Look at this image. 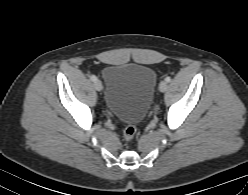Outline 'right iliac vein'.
<instances>
[{
    "label": "right iliac vein",
    "mask_w": 248,
    "mask_h": 195,
    "mask_svg": "<svg viewBox=\"0 0 248 195\" xmlns=\"http://www.w3.org/2000/svg\"><path fill=\"white\" fill-rule=\"evenodd\" d=\"M94 88L97 90V91H101L103 89V86H102V83L99 81V80H96L94 82Z\"/></svg>",
    "instance_id": "63e3f726"
}]
</instances>
